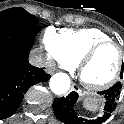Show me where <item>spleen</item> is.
<instances>
[{"label": "spleen", "mask_w": 124, "mask_h": 124, "mask_svg": "<svg viewBox=\"0 0 124 124\" xmlns=\"http://www.w3.org/2000/svg\"><path fill=\"white\" fill-rule=\"evenodd\" d=\"M85 106H86L87 109H90V110L95 108V105L93 103L89 102V101H87L85 103Z\"/></svg>", "instance_id": "obj_1"}]
</instances>
